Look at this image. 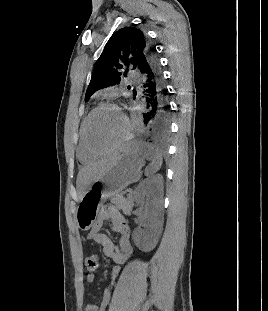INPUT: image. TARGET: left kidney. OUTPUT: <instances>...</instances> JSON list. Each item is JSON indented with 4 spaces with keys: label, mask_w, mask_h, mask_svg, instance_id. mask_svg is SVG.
I'll return each mask as SVG.
<instances>
[{
    "label": "left kidney",
    "mask_w": 268,
    "mask_h": 311,
    "mask_svg": "<svg viewBox=\"0 0 268 311\" xmlns=\"http://www.w3.org/2000/svg\"><path fill=\"white\" fill-rule=\"evenodd\" d=\"M162 196L163 177L160 174L146 178L136 188L134 200L139 205H147L140 217V225L145 229H136L133 234L135 245L144 252L155 248L162 233Z\"/></svg>",
    "instance_id": "left-kidney-1"
}]
</instances>
